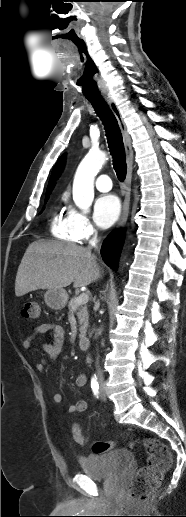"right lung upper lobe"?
Returning <instances> with one entry per match:
<instances>
[{
    "mask_svg": "<svg viewBox=\"0 0 186 517\" xmlns=\"http://www.w3.org/2000/svg\"><path fill=\"white\" fill-rule=\"evenodd\" d=\"M64 164H65V155H63L55 164L53 170H52V174H51V177H50V181H49V185L47 187V192H51L53 187H54V184H55V181L59 178L60 174H61V171L63 170V167H64Z\"/></svg>",
    "mask_w": 186,
    "mask_h": 517,
    "instance_id": "1",
    "label": "right lung upper lobe"
}]
</instances>
